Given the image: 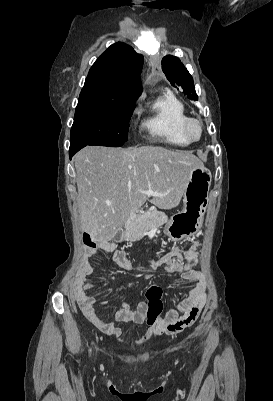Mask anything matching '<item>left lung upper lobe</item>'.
Returning <instances> with one entry per match:
<instances>
[{
	"instance_id": "obj_1",
	"label": "left lung upper lobe",
	"mask_w": 273,
	"mask_h": 401,
	"mask_svg": "<svg viewBox=\"0 0 273 401\" xmlns=\"http://www.w3.org/2000/svg\"><path fill=\"white\" fill-rule=\"evenodd\" d=\"M162 70L173 86H180L189 99L198 100L193 78L177 57L172 55L165 56L162 59Z\"/></svg>"
}]
</instances>
